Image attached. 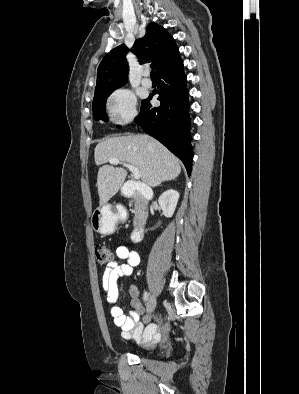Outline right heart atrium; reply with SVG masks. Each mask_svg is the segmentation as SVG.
I'll return each mask as SVG.
<instances>
[{
    "instance_id": "d8ad5b80",
    "label": "right heart atrium",
    "mask_w": 299,
    "mask_h": 394,
    "mask_svg": "<svg viewBox=\"0 0 299 394\" xmlns=\"http://www.w3.org/2000/svg\"><path fill=\"white\" fill-rule=\"evenodd\" d=\"M108 109L112 120L119 125L131 122L137 116V99L127 88L115 90L108 101Z\"/></svg>"
}]
</instances>
